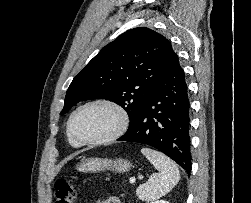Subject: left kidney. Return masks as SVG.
Returning <instances> with one entry per match:
<instances>
[{
    "instance_id": "obj_1",
    "label": "left kidney",
    "mask_w": 251,
    "mask_h": 203,
    "mask_svg": "<svg viewBox=\"0 0 251 203\" xmlns=\"http://www.w3.org/2000/svg\"><path fill=\"white\" fill-rule=\"evenodd\" d=\"M153 203H169L168 201H165V200H158V201H155Z\"/></svg>"
}]
</instances>
